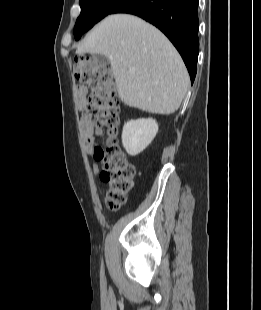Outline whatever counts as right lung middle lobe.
I'll return each mask as SVG.
<instances>
[{
    "label": "right lung middle lobe",
    "instance_id": "dd1d6c3e",
    "mask_svg": "<svg viewBox=\"0 0 261 310\" xmlns=\"http://www.w3.org/2000/svg\"><path fill=\"white\" fill-rule=\"evenodd\" d=\"M124 0H80L81 13L74 27L78 40L83 33L112 12Z\"/></svg>",
    "mask_w": 261,
    "mask_h": 310
}]
</instances>
